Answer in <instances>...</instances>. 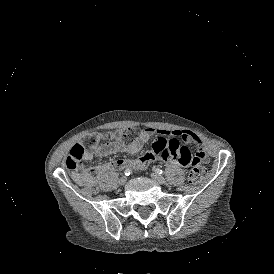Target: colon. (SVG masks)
<instances>
[{
	"instance_id": "obj_1",
	"label": "colon",
	"mask_w": 274,
	"mask_h": 274,
	"mask_svg": "<svg viewBox=\"0 0 274 274\" xmlns=\"http://www.w3.org/2000/svg\"><path fill=\"white\" fill-rule=\"evenodd\" d=\"M138 129L135 127H128L121 130H114L107 133L93 134L86 137L82 143H75L71 148L69 155L65 159V166L70 171H77L82 165V157L85 151H91L96 143L103 141V139L112 140L114 138L120 139L125 142L133 141L136 139ZM188 171V181L191 184H197L202 179V171L199 166L190 167ZM93 171V170H92ZM90 171L81 169V173L88 174Z\"/></svg>"
}]
</instances>
